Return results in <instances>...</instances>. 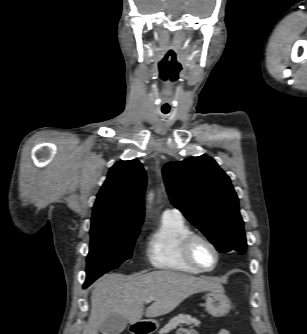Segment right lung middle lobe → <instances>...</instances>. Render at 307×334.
<instances>
[{"instance_id": "1", "label": "right lung middle lobe", "mask_w": 307, "mask_h": 334, "mask_svg": "<svg viewBox=\"0 0 307 334\" xmlns=\"http://www.w3.org/2000/svg\"><path fill=\"white\" fill-rule=\"evenodd\" d=\"M140 226L141 224H112L91 227L87 277L84 284L86 287L102 274L117 268L131 257Z\"/></svg>"}]
</instances>
